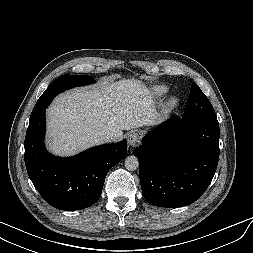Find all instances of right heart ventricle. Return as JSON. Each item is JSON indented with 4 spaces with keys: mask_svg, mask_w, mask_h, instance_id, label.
<instances>
[{
    "mask_svg": "<svg viewBox=\"0 0 253 253\" xmlns=\"http://www.w3.org/2000/svg\"><path fill=\"white\" fill-rule=\"evenodd\" d=\"M168 87L164 85H157L152 88V95L155 98H162L168 93Z\"/></svg>",
    "mask_w": 253,
    "mask_h": 253,
    "instance_id": "e07e8e85",
    "label": "right heart ventricle"
}]
</instances>
